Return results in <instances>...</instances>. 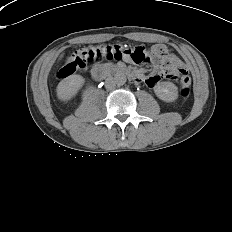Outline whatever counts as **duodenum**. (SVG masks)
I'll return each instance as SVG.
<instances>
[{"instance_id": "obj_1", "label": "duodenum", "mask_w": 232, "mask_h": 232, "mask_svg": "<svg viewBox=\"0 0 232 232\" xmlns=\"http://www.w3.org/2000/svg\"><path fill=\"white\" fill-rule=\"evenodd\" d=\"M105 68L100 65H96L92 68L91 70V77L94 81H101L104 74H105ZM117 73L119 75H124L127 76L131 81L137 82L139 80V76L136 73H132L131 71L124 69V68H119L117 70Z\"/></svg>"}]
</instances>
